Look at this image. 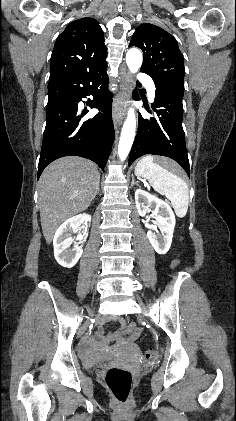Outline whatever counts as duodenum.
<instances>
[{
  "instance_id": "1",
  "label": "duodenum",
  "mask_w": 236,
  "mask_h": 421,
  "mask_svg": "<svg viewBox=\"0 0 236 421\" xmlns=\"http://www.w3.org/2000/svg\"><path fill=\"white\" fill-rule=\"evenodd\" d=\"M126 334L127 336L125 338L127 339H130L133 337V332L131 330H128ZM112 339H124V337H122L121 333L118 332L112 336ZM103 346L104 345L102 343L93 341L91 339L87 340L82 347L83 360L88 365H93L97 363L98 361H100L103 358V354L98 350L99 348Z\"/></svg>"
}]
</instances>
